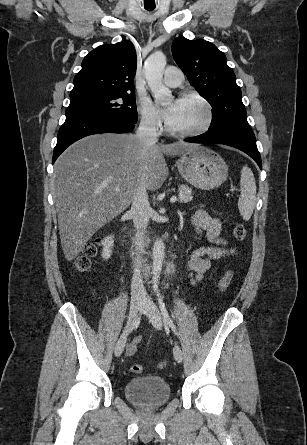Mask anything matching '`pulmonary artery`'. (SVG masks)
Wrapping results in <instances>:
<instances>
[{
	"mask_svg": "<svg viewBox=\"0 0 307 445\" xmlns=\"http://www.w3.org/2000/svg\"><path fill=\"white\" fill-rule=\"evenodd\" d=\"M182 69H172L169 67L164 72V81L168 85H178L182 82Z\"/></svg>",
	"mask_w": 307,
	"mask_h": 445,
	"instance_id": "1",
	"label": "pulmonary artery"
}]
</instances>
